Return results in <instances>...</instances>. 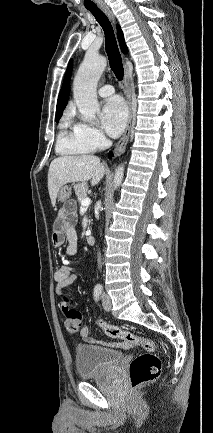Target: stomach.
<instances>
[{"label": "stomach", "instance_id": "0dacf381", "mask_svg": "<svg viewBox=\"0 0 213 433\" xmlns=\"http://www.w3.org/2000/svg\"><path fill=\"white\" fill-rule=\"evenodd\" d=\"M71 196V188L69 186H62L58 192V200L67 203Z\"/></svg>", "mask_w": 213, "mask_h": 433}]
</instances>
